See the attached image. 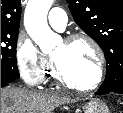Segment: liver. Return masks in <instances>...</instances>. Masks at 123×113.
Instances as JSON below:
<instances>
[{
    "label": "liver",
    "mask_w": 123,
    "mask_h": 113,
    "mask_svg": "<svg viewBox=\"0 0 123 113\" xmlns=\"http://www.w3.org/2000/svg\"><path fill=\"white\" fill-rule=\"evenodd\" d=\"M74 101L64 94L1 88V113H51L59 105Z\"/></svg>",
    "instance_id": "obj_1"
}]
</instances>
